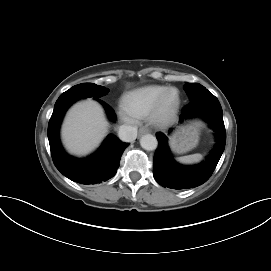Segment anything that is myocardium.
<instances>
[{"instance_id":"myocardium-1","label":"myocardium","mask_w":271,"mask_h":271,"mask_svg":"<svg viewBox=\"0 0 271 271\" xmlns=\"http://www.w3.org/2000/svg\"><path fill=\"white\" fill-rule=\"evenodd\" d=\"M171 93H175V101L167 105V99ZM181 105V95L177 88L168 87L157 99L149 113L150 120L158 125L169 124L176 116Z\"/></svg>"}]
</instances>
